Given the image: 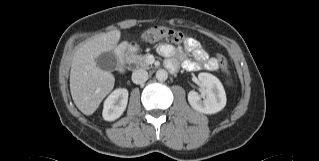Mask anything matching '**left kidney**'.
I'll list each match as a JSON object with an SVG mask.
<instances>
[{
    "label": "left kidney",
    "instance_id": "obj_1",
    "mask_svg": "<svg viewBox=\"0 0 319 161\" xmlns=\"http://www.w3.org/2000/svg\"><path fill=\"white\" fill-rule=\"evenodd\" d=\"M203 94L195 91L188 93V101L191 107L204 114H214L221 111L226 105V94L222 83L210 73L198 75Z\"/></svg>",
    "mask_w": 319,
    "mask_h": 161
}]
</instances>
